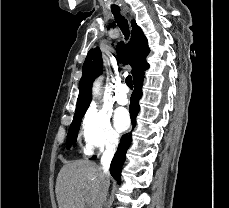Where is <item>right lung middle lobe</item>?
I'll return each mask as SVG.
<instances>
[{"label":"right lung middle lobe","mask_w":229,"mask_h":208,"mask_svg":"<svg viewBox=\"0 0 229 208\" xmlns=\"http://www.w3.org/2000/svg\"><path fill=\"white\" fill-rule=\"evenodd\" d=\"M80 123L81 120H75L72 122L67 135V142H66L67 147H70L72 144L75 143L78 135Z\"/></svg>","instance_id":"1"}]
</instances>
